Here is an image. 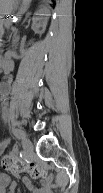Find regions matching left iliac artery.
<instances>
[{
    "label": "left iliac artery",
    "mask_w": 103,
    "mask_h": 193,
    "mask_svg": "<svg viewBox=\"0 0 103 193\" xmlns=\"http://www.w3.org/2000/svg\"><path fill=\"white\" fill-rule=\"evenodd\" d=\"M13 133L17 138H22L24 136L23 132L19 129H13Z\"/></svg>",
    "instance_id": "left-iliac-artery-1"
}]
</instances>
